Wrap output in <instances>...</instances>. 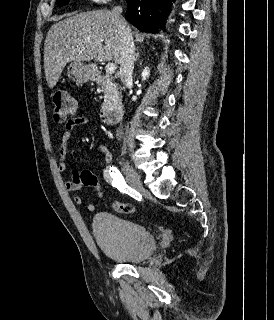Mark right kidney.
<instances>
[{
    "instance_id": "right-kidney-1",
    "label": "right kidney",
    "mask_w": 274,
    "mask_h": 320,
    "mask_svg": "<svg viewBox=\"0 0 274 320\" xmlns=\"http://www.w3.org/2000/svg\"><path fill=\"white\" fill-rule=\"evenodd\" d=\"M149 76H150V68H144V70L141 74L142 82H145V80H147V78H149Z\"/></svg>"
}]
</instances>
